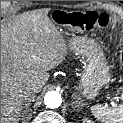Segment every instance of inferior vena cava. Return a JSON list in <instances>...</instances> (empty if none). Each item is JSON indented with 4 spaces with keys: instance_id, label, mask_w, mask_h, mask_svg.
<instances>
[{
    "instance_id": "602c4592",
    "label": "inferior vena cava",
    "mask_w": 123,
    "mask_h": 123,
    "mask_svg": "<svg viewBox=\"0 0 123 123\" xmlns=\"http://www.w3.org/2000/svg\"><path fill=\"white\" fill-rule=\"evenodd\" d=\"M34 94H35V91L32 89V88H26L24 91H23V98L24 100H29L30 98L29 97H34Z\"/></svg>"
}]
</instances>
